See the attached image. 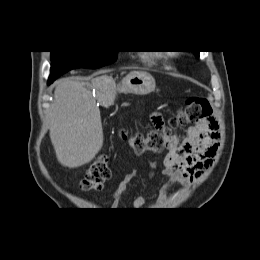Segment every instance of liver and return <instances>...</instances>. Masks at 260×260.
Returning a JSON list of instances; mask_svg holds the SVG:
<instances>
[{"label":"liver","instance_id":"1","mask_svg":"<svg viewBox=\"0 0 260 260\" xmlns=\"http://www.w3.org/2000/svg\"><path fill=\"white\" fill-rule=\"evenodd\" d=\"M93 88L96 97L92 95ZM115 93L116 85L108 75L91 82L67 78L57 83L50 110V139L63 166L80 167L91 162L100 151L104 138L96 100H113Z\"/></svg>","mask_w":260,"mask_h":260}]
</instances>
